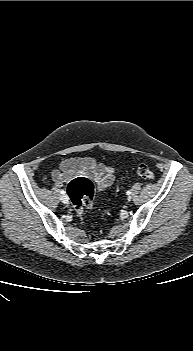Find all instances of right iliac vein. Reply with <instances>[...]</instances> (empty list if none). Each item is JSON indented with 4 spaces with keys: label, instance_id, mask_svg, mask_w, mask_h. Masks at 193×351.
<instances>
[{
    "label": "right iliac vein",
    "instance_id": "obj_1",
    "mask_svg": "<svg viewBox=\"0 0 193 351\" xmlns=\"http://www.w3.org/2000/svg\"><path fill=\"white\" fill-rule=\"evenodd\" d=\"M61 201H62L63 203H65V204H67V203L69 202L68 196H67V195L61 196Z\"/></svg>",
    "mask_w": 193,
    "mask_h": 351
}]
</instances>
